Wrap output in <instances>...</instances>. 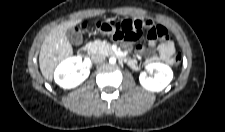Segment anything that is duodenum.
Masks as SVG:
<instances>
[{"label":"duodenum","instance_id":"obj_1","mask_svg":"<svg viewBox=\"0 0 225 132\" xmlns=\"http://www.w3.org/2000/svg\"><path fill=\"white\" fill-rule=\"evenodd\" d=\"M83 54H84V55H87V50H86V49L83 50ZM121 57H122V56H121Z\"/></svg>","mask_w":225,"mask_h":132}]
</instances>
